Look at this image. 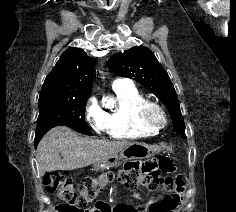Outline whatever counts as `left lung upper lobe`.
<instances>
[{"label": "left lung upper lobe", "mask_w": 236, "mask_h": 212, "mask_svg": "<svg viewBox=\"0 0 236 212\" xmlns=\"http://www.w3.org/2000/svg\"><path fill=\"white\" fill-rule=\"evenodd\" d=\"M107 64L118 76L131 78L155 94L167 106L172 117L173 130L185 136V124L175 88L167 71L150 49L145 46L133 47L123 53L114 54Z\"/></svg>", "instance_id": "5c2ea615"}]
</instances>
